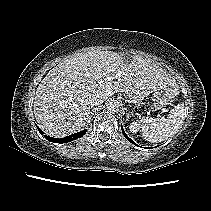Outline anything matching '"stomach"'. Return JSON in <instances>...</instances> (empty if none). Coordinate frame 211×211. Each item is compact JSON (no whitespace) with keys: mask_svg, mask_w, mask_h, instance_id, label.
Listing matches in <instances>:
<instances>
[{"mask_svg":"<svg viewBox=\"0 0 211 211\" xmlns=\"http://www.w3.org/2000/svg\"><path fill=\"white\" fill-rule=\"evenodd\" d=\"M127 59V56H125ZM153 92V104L155 109H160L168 105L178 94V87L175 82H169L161 86L156 87ZM148 90L145 89H132L128 96L132 100H142L148 95Z\"/></svg>","mask_w":211,"mask_h":211,"instance_id":"1","label":"stomach"}]
</instances>
